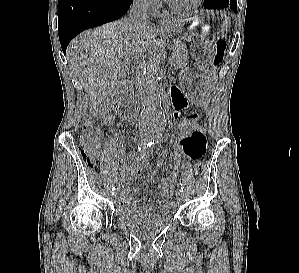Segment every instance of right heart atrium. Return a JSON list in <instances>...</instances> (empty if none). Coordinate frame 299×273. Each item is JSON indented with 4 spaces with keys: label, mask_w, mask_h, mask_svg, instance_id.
<instances>
[{
    "label": "right heart atrium",
    "mask_w": 299,
    "mask_h": 273,
    "mask_svg": "<svg viewBox=\"0 0 299 273\" xmlns=\"http://www.w3.org/2000/svg\"><path fill=\"white\" fill-rule=\"evenodd\" d=\"M138 5H140L143 8H151L154 7L158 0H135Z\"/></svg>",
    "instance_id": "right-heart-atrium-1"
}]
</instances>
